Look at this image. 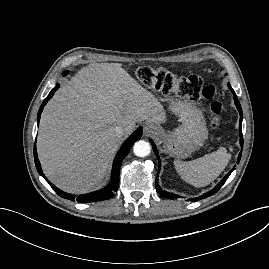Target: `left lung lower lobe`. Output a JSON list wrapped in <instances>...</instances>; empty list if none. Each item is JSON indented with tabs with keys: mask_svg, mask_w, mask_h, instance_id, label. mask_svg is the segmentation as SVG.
Wrapping results in <instances>:
<instances>
[{
	"mask_svg": "<svg viewBox=\"0 0 269 269\" xmlns=\"http://www.w3.org/2000/svg\"><path fill=\"white\" fill-rule=\"evenodd\" d=\"M228 87L229 89L231 90V92L233 93L234 95V102H235V105L239 111V114H240V124H239V131H240V145L241 147H243V135H242V109H241V106H240V102L239 100L237 99L236 97V94L233 90V88L230 86V84H228ZM152 145H153V151L155 153V155L157 156L158 160H159V167H161V161H160V158H159V155H158V151L154 145V143L152 142ZM241 153L242 151L239 153V156H238V161L237 163H239L240 161V158H241ZM235 168H233L220 182L218 185H216L211 191L205 193L204 195L202 196H199L197 198H193L191 199V201H196V200H200V199H203L205 197H209L211 195H213L215 192H217L221 186L225 183V181L227 180V178L229 177V175L232 173V171L234 170ZM160 170V168H159ZM155 186H156V190L157 192L159 193L160 196H162L163 198H170V199H177V198H180V196L176 195V194H173V193H169V192H166V191H162L160 186L158 185L157 183V179H156V182H155Z\"/></svg>",
	"mask_w": 269,
	"mask_h": 269,
	"instance_id": "obj_1",
	"label": "left lung lower lobe"
}]
</instances>
